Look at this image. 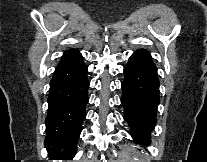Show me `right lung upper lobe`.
<instances>
[{
    "mask_svg": "<svg viewBox=\"0 0 207 162\" xmlns=\"http://www.w3.org/2000/svg\"><path fill=\"white\" fill-rule=\"evenodd\" d=\"M78 55H79L78 51H76V50H68V51H66L64 53L63 58L61 59V61L71 59V58L76 57Z\"/></svg>",
    "mask_w": 207,
    "mask_h": 162,
    "instance_id": "1",
    "label": "right lung upper lobe"
}]
</instances>
